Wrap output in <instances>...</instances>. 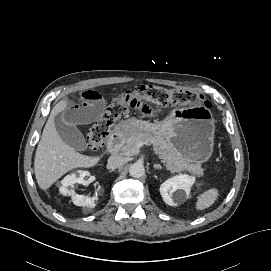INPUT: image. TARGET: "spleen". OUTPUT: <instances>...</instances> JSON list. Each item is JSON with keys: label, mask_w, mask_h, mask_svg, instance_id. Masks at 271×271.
Returning a JSON list of instances; mask_svg holds the SVG:
<instances>
[{"label": "spleen", "mask_w": 271, "mask_h": 271, "mask_svg": "<svg viewBox=\"0 0 271 271\" xmlns=\"http://www.w3.org/2000/svg\"><path fill=\"white\" fill-rule=\"evenodd\" d=\"M219 195L217 188H211L197 197L195 208L198 211H203L214 204Z\"/></svg>", "instance_id": "3e777b00"}]
</instances>
